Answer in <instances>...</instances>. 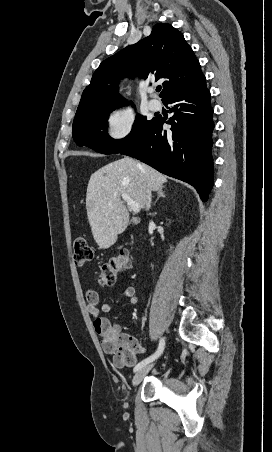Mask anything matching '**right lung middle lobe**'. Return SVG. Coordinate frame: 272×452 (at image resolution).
<instances>
[{
    "label": "right lung middle lobe",
    "mask_w": 272,
    "mask_h": 452,
    "mask_svg": "<svg viewBox=\"0 0 272 452\" xmlns=\"http://www.w3.org/2000/svg\"><path fill=\"white\" fill-rule=\"evenodd\" d=\"M115 108H98L75 116L73 138L79 146H88L102 154H117L137 141L153 119L138 115L131 132L121 140H114L107 134V119Z\"/></svg>",
    "instance_id": "right-lung-middle-lobe-1"
}]
</instances>
